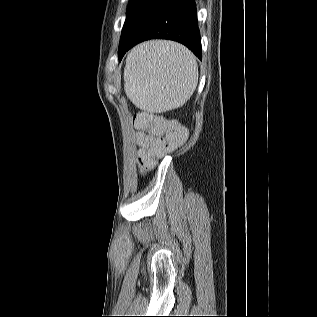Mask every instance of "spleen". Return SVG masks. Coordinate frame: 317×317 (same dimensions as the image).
<instances>
[{
    "label": "spleen",
    "mask_w": 317,
    "mask_h": 317,
    "mask_svg": "<svg viewBox=\"0 0 317 317\" xmlns=\"http://www.w3.org/2000/svg\"><path fill=\"white\" fill-rule=\"evenodd\" d=\"M124 89L132 103L149 112H165L182 106L198 83L195 56L170 41H149L128 54Z\"/></svg>",
    "instance_id": "spleen-1"
}]
</instances>
